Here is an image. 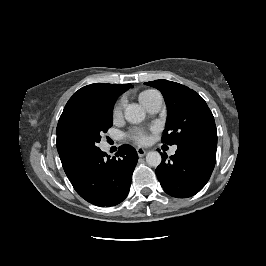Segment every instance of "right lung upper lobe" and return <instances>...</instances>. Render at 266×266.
Returning a JSON list of instances; mask_svg holds the SVG:
<instances>
[{
	"label": "right lung upper lobe",
	"mask_w": 266,
	"mask_h": 266,
	"mask_svg": "<svg viewBox=\"0 0 266 266\" xmlns=\"http://www.w3.org/2000/svg\"><path fill=\"white\" fill-rule=\"evenodd\" d=\"M131 87V84L96 83L82 87L69 99L56 129L58 153L69 180L79 173L89 157L73 155L64 148L63 135L66 128L92 108L104 103H115L117 97Z\"/></svg>",
	"instance_id": "cb5924a9"
}]
</instances>
